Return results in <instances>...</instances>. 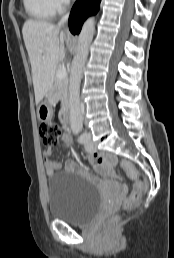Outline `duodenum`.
I'll return each instance as SVG.
<instances>
[{"label": "duodenum", "mask_w": 174, "mask_h": 258, "mask_svg": "<svg viewBox=\"0 0 174 258\" xmlns=\"http://www.w3.org/2000/svg\"><path fill=\"white\" fill-rule=\"evenodd\" d=\"M60 118L64 125L70 123V106L68 100H64L62 103Z\"/></svg>", "instance_id": "obj_1"}]
</instances>
